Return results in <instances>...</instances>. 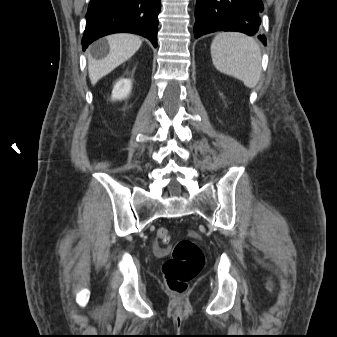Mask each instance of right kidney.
<instances>
[{"label":"right kidney","instance_id":"ca27d5eb","mask_svg":"<svg viewBox=\"0 0 337 337\" xmlns=\"http://www.w3.org/2000/svg\"><path fill=\"white\" fill-rule=\"evenodd\" d=\"M132 82L130 79H120L112 90V100H122L128 97L131 92Z\"/></svg>","mask_w":337,"mask_h":337}]
</instances>
